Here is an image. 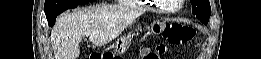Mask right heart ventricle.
I'll list each match as a JSON object with an SVG mask.
<instances>
[{"label": "right heart ventricle", "instance_id": "obj_1", "mask_svg": "<svg viewBox=\"0 0 261 59\" xmlns=\"http://www.w3.org/2000/svg\"><path fill=\"white\" fill-rule=\"evenodd\" d=\"M146 2H148V1H146ZM146 9H148V10H152V9H155L154 7H145Z\"/></svg>", "mask_w": 261, "mask_h": 59}]
</instances>
